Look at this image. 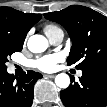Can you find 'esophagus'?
<instances>
[{"instance_id":"34e87169","label":"esophagus","mask_w":107,"mask_h":107,"mask_svg":"<svg viewBox=\"0 0 107 107\" xmlns=\"http://www.w3.org/2000/svg\"><path fill=\"white\" fill-rule=\"evenodd\" d=\"M45 78H54L55 74H44L43 75Z\"/></svg>"}]
</instances>
